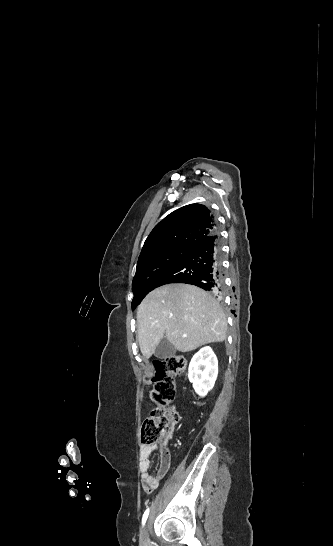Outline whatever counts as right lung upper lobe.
<instances>
[{"mask_svg": "<svg viewBox=\"0 0 333 546\" xmlns=\"http://www.w3.org/2000/svg\"><path fill=\"white\" fill-rule=\"evenodd\" d=\"M216 230L213 214L201 204L181 207L159 222L147 237L138 262L171 247H193Z\"/></svg>", "mask_w": 333, "mask_h": 546, "instance_id": "right-lung-upper-lobe-1", "label": "right lung upper lobe"}]
</instances>
